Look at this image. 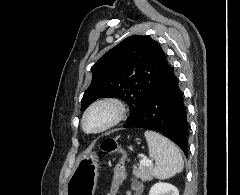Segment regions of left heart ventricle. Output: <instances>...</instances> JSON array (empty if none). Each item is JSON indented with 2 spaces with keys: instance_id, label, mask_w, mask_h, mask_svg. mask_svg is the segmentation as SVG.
Listing matches in <instances>:
<instances>
[{
  "instance_id": "b2bd125f",
  "label": "left heart ventricle",
  "mask_w": 240,
  "mask_h": 195,
  "mask_svg": "<svg viewBox=\"0 0 240 195\" xmlns=\"http://www.w3.org/2000/svg\"><path fill=\"white\" fill-rule=\"evenodd\" d=\"M106 114L103 112H96L91 114L87 120V126L90 129L99 127L105 120Z\"/></svg>"
}]
</instances>
